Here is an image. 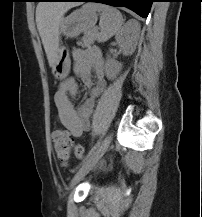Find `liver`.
I'll return each instance as SVG.
<instances>
[{
  "instance_id": "liver-1",
  "label": "liver",
  "mask_w": 202,
  "mask_h": 217,
  "mask_svg": "<svg viewBox=\"0 0 202 217\" xmlns=\"http://www.w3.org/2000/svg\"><path fill=\"white\" fill-rule=\"evenodd\" d=\"M76 3L40 2L36 8V23L50 67L56 62L59 47V25L64 14Z\"/></svg>"
}]
</instances>
